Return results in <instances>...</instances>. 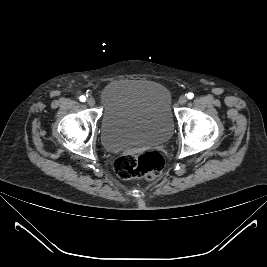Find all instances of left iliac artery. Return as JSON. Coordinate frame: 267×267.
Listing matches in <instances>:
<instances>
[{
  "mask_svg": "<svg viewBox=\"0 0 267 267\" xmlns=\"http://www.w3.org/2000/svg\"><path fill=\"white\" fill-rule=\"evenodd\" d=\"M187 97H188L189 99H192V98L194 97V94H193V93H188Z\"/></svg>",
  "mask_w": 267,
  "mask_h": 267,
  "instance_id": "1",
  "label": "left iliac artery"
}]
</instances>
